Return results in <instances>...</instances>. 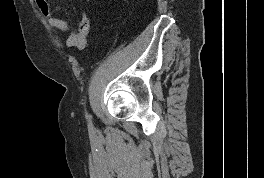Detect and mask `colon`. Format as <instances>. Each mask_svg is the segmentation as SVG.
I'll return each mask as SVG.
<instances>
[{"label":"colon","mask_w":264,"mask_h":178,"mask_svg":"<svg viewBox=\"0 0 264 178\" xmlns=\"http://www.w3.org/2000/svg\"><path fill=\"white\" fill-rule=\"evenodd\" d=\"M91 28V19L88 13L84 12L79 24L77 32H73L69 35L67 39V45L69 47H75L78 49H83L87 46L89 41Z\"/></svg>","instance_id":"obj_1"}]
</instances>
